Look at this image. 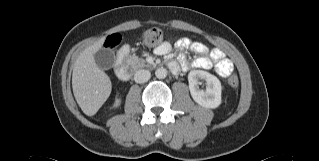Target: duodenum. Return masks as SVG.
<instances>
[{
    "mask_svg": "<svg viewBox=\"0 0 319 161\" xmlns=\"http://www.w3.org/2000/svg\"><path fill=\"white\" fill-rule=\"evenodd\" d=\"M128 52V48L122 47L116 55L115 71L118 79L122 81H127L131 77V71L127 63ZM169 67L173 71L176 69V64L172 62Z\"/></svg>",
    "mask_w": 319,
    "mask_h": 161,
    "instance_id": "duodenum-1",
    "label": "duodenum"
}]
</instances>
